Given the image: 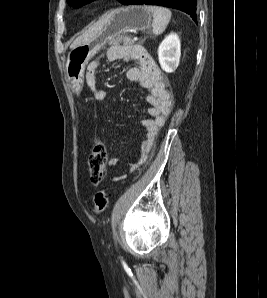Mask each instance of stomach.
<instances>
[{
    "instance_id": "obj_1",
    "label": "stomach",
    "mask_w": 267,
    "mask_h": 298,
    "mask_svg": "<svg viewBox=\"0 0 267 298\" xmlns=\"http://www.w3.org/2000/svg\"><path fill=\"white\" fill-rule=\"evenodd\" d=\"M108 16H110L109 21L96 36L90 41L72 48L68 54L66 74L75 93L82 91L86 65L107 42L129 30H147L152 21L151 13L144 6L139 5L113 10Z\"/></svg>"
}]
</instances>
